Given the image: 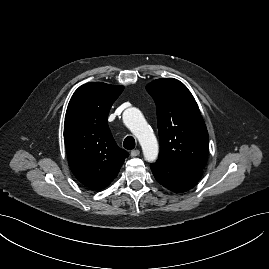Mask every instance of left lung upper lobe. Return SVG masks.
<instances>
[{
	"label": "left lung upper lobe",
	"mask_w": 269,
	"mask_h": 269,
	"mask_svg": "<svg viewBox=\"0 0 269 269\" xmlns=\"http://www.w3.org/2000/svg\"><path fill=\"white\" fill-rule=\"evenodd\" d=\"M156 104L160 138L158 160L204 169L208 132L198 105L187 87L173 78L146 86Z\"/></svg>",
	"instance_id": "5c2ea615"
}]
</instances>
